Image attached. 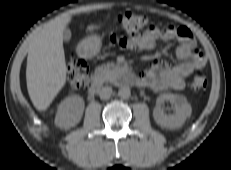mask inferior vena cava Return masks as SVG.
<instances>
[{"label":"inferior vena cava","instance_id":"obj_1","mask_svg":"<svg viewBox=\"0 0 231 170\" xmlns=\"http://www.w3.org/2000/svg\"><path fill=\"white\" fill-rule=\"evenodd\" d=\"M112 94V88L111 87H102L99 91V96L101 99H108L110 98Z\"/></svg>","mask_w":231,"mask_h":170}]
</instances>
